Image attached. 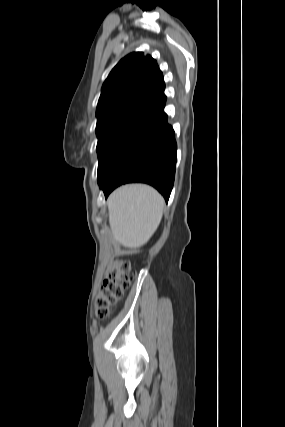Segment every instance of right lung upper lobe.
Here are the masks:
<instances>
[{"mask_svg":"<svg viewBox=\"0 0 285 427\" xmlns=\"http://www.w3.org/2000/svg\"><path fill=\"white\" fill-rule=\"evenodd\" d=\"M165 84L157 62L149 55L134 52L123 58L102 86L98 119L120 112L145 113L164 97Z\"/></svg>","mask_w":285,"mask_h":427,"instance_id":"obj_1","label":"right lung upper lobe"}]
</instances>
